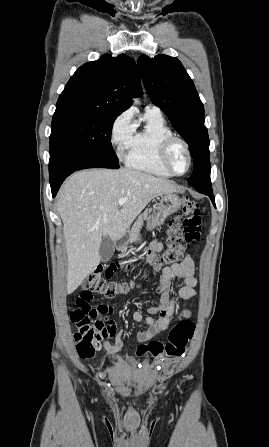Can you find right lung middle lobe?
Instances as JSON below:
<instances>
[{
  "label": "right lung middle lobe",
  "mask_w": 269,
  "mask_h": 447,
  "mask_svg": "<svg viewBox=\"0 0 269 447\" xmlns=\"http://www.w3.org/2000/svg\"><path fill=\"white\" fill-rule=\"evenodd\" d=\"M117 116L106 113L54 114L50 145H61L118 163L110 140Z\"/></svg>",
  "instance_id": "obj_1"
}]
</instances>
